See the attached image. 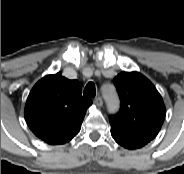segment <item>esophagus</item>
<instances>
[{"label": "esophagus", "instance_id": "1", "mask_svg": "<svg viewBox=\"0 0 184 174\" xmlns=\"http://www.w3.org/2000/svg\"><path fill=\"white\" fill-rule=\"evenodd\" d=\"M93 102L97 105V106H102L103 105V100L101 97H96Z\"/></svg>", "mask_w": 184, "mask_h": 174}]
</instances>
